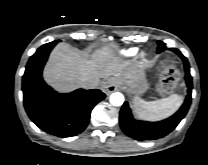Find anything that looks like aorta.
I'll list each match as a JSON object with an SVG mask.
<instances>
[{
	"instance_id": "obj_1",
	"label": "aorta",
	"mask_w": 208,
	"mask_h": 165,
	"mask_svg": "<svg viewBox=\"0 0 208 165\" xmlns=\"http://www.w3.org/2000/svg\"><path fill=\"white\" fill-rule=\"evenodd\" d=\"M110 103L113 106H121L124 103V96L122 93L115 92L110 95Z\"/></svg>"
}]
</instances>
